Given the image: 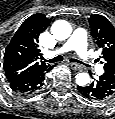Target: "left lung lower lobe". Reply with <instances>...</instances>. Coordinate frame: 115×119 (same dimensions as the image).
Listing matches in <instances>:
<instances>
[{
  "label": "left lung lower lobe",
  "instance_id": "left-lung-lower-lobe-1",
  "mask_svg": "<svg viewBox=\"0 0 115 119\" xmlns=\"http://www.w3.org/2000/svg\"><path fill=\"white\" fill-rule=\"evenodd\" d=\"M80 94L90 100H104L115 94V79L104 73L88 86L78 87Z\"/></svg>",
  "mask_w": 115,
  "mask_h": 119
}]
</instances>
